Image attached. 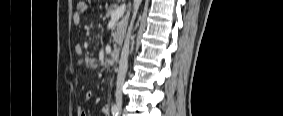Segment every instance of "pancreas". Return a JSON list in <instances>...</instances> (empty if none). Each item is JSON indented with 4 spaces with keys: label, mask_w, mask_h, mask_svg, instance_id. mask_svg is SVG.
Here are the masks:
<instances>
[{
    "label": "pancreas",
    "mask_w": 283,
    "mask_h": 116,
    "mask_svg": "<svg viewBox=\"0 0 283 116\" xmlns=\"http://www.w3.org/2000/svg\"><path fill=\"white\" fill-rule=\"evenodd\" d=\"M118 8L117 5H111L109 7V9L107 10V14L106 16L107 17H110L111 14ZM122 22H124V26L121 27V23H119L117 25V33L115 34V38H114V42H115V46L116 45H120L122 43V38H123V35H124V32H125V29H126V19H124Z\"/></svg>",
    "instance_id": "obj_1"
}]
</instances>
